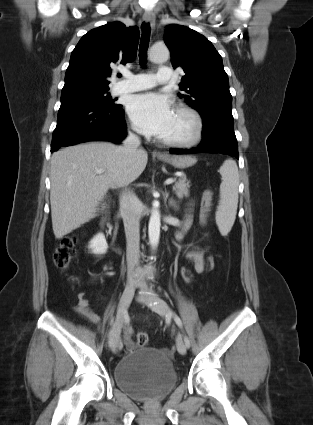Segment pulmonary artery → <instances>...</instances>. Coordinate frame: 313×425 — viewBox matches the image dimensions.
<instances>
[{"label":"pulmonary artery","mask_w":313,"mask_h":425,"mask_svg":"<svg viewBox=\"0 0 313 425\" xmlns=\"http://www.w3.org/2000/svg\"><path fill=\"white\" fill-rule=\"evenodd\" d=\"M173 73L169 67H161L156 75L150 73H127L126 79L116 83L112 91L114 94L135 92L154 87L157 84H166L172 81Z\"/></svg>","instance_id":"obj_1"}]
</instances>
